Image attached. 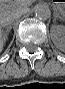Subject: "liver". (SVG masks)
Listing matches in <instances>:
<instances>
[{"label":"liver","mask_w":65,"mask_h":89,"mask_svg":"<svg viewBox=\"0 0 65 89\" xmlns=\"http://www.w3.org/2000/svg\"><path fill=\"white\" fill-rule=\"evenodd\" d=\"M19 6L16 8H11V9H5L4 5L5 2H1V10H0V20H8L9 18H11L12 16H14L15 14H19V13H23L25 11H27L28 5L30 4L29 1H20L18 2ZM9 25V24H8ZM7 25L4 23L2 24L0 22V47L1 50H3L4 47V43L7 40V37L4 34V27H6Z\"/></svg>","instance_id":"liver-1"}]
</instances>
